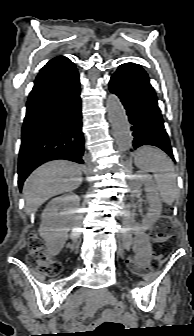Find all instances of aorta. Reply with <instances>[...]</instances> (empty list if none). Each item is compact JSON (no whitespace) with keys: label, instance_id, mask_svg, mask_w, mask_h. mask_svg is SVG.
<instances>
[{"label":"aorta","instance_id":"obj_1","mask_svg":"<svg viewBox=\"0 0 194 336\" xmlns=\"http://www.w3.org/2000/svg\"><path fill=\"white\" fill-rule=\"evenodd\" d=\"M106 107L118 149L125 152L132 145V135L126 111L115 94H109Z\"/></svg>","mask_w":194,"mask_h":336}]
</instances>
